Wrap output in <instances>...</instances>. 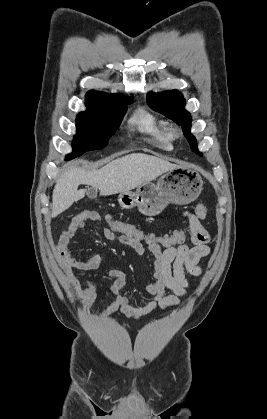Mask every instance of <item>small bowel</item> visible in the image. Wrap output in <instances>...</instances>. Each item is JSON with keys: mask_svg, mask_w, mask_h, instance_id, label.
Here are the masks:
<instances>
[{"mask_svg": "<svg viewBox=\"0 0 267 419\" xmlns=\"http://www.w3.org/2000/svg\"><path fill=\"white\" fill-rule=\"evenodd\" d=\"M188 221L190 239L193 246L184 244V241L168 247L143 245L132 246V250L139 254L149 253L154 259V279L146 285V291L151 296L146 302L133 305L130 299L122 294L126 285L127 275L119 269H112L108 276L113 280L110 287V300L106 309L101 312L102 316H109L117 311L130 319H142L153 310H162L178 305L189 287L187 274L200 276L202 268L200 260L210 254V235L200 222V218L193 213H184ZM100 221V215L91 210H86L76 215L64 229L56 243V257L60 269L67 284L82 298V307L89 309L98 299L99 294L95 283L89 281L88 286L83 287L79 282L75 271H91L100 266L98 256L81 258L71 250V242L77 232L83 230L88 222ZM102 235L109 241H118V237L108 228L102 230ZM166 289L171 294H166Z\"/></svg>", "mask_w": 267, "mask_h": 419, "instance_id": "1", "label": "small bowel"}]
</instances>
